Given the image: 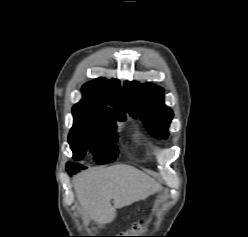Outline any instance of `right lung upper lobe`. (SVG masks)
<instances>
[{
  "instance_id": "cb5924a9",
  "label": "right lung upper lobe",
  "mask_w": 248,
  "mask_h": 237,
  "mask_svg": "<svg viewBox=\"0 0 248 237\" xmlns=\"http://www.w3.org/2000/svg\"><path fill=\"white\" fill-rule=\"evenodd\" d=\"M83 99L73 110L98 117L125 116L126 104L118 80L98 78L82 87Z\"/></svg>"
}]
</instances>
